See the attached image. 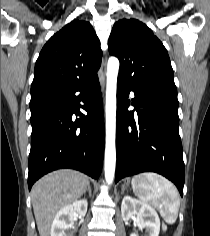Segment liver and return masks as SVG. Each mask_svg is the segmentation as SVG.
I'll list each match as a JSON object with an SVG mask.
<instances>
[{"label":"liver","instance_id":"obj_1","mask_svg":"<svg viewBox=\"0 0 210 236\" xmlns=\"http://www.w3.org/2000/svg\"><path fill=\"white\" fill-rule=\"evenodd\" d=\"M88 177L74 170H58L39 179L32 187L31 198L40 236H49L57 212L79 199L88 187Z\"/></svg>","mask_w":210,"mask_h":236}]
</instances>
